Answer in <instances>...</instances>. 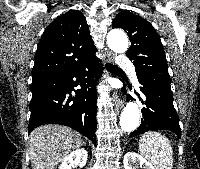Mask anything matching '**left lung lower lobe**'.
Returning a JSON list of instances; mask_svg holds the SVG:
<instances>
[{
  "label": "left lung lower lobe",
  "instance_id": "obj_1",
  "mask_svg": "<svg viewBox=\"0 0 200 169\" xmlns=\"http://www.w3.org/2000/svg\"><path fill=\"white\" fill-rule=\"evenodd\" d=\"M140 90L146 96L142 103L143 119L140 126L129 137L143 134L150 130H169L181 136L178 114L173 105V94L170 83L160 82L151 78H138ZM128 87L132 89L131 85ZM124 91V89H123ZM133 98L129 95L127 100Z\"/></svg>",
  "mask_w": 200,
  "mask_h": 169
}]
</instances>
